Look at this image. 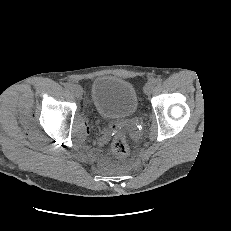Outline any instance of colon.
Segmentation results:
<instances>
[{
  "label": "colon",
  "instance_id": "1",
  "mask_svg": "<svg viewBox=\"0 0 231 231\" xmlns=\"http://www.w3.org/2000/svg\"><path fill=\"white\" fill-rule=\"evenodd\" d=\"M110 150L118 156H125L129 153V145L124 134L118 133L113 137Z\"/></svg>",
  "mask_w": 231,
  "mask_h": 231
}]
</instances>
